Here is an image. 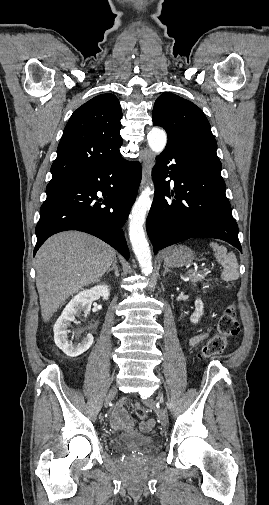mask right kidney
Returning <instances> with one entry per match:
<instances>
[{
	"instance_id": "1",
	"label": "right kidney",
	"mask_w": 269,
	"mask_h": 505,
	"mask_svg": "<svg viewBox=\"0 0 269 505\" xmlns=\"http://www.w3.org/2000/svg\"><path fill=\"white\" fill-rule=\"evenodd\" d=\"M110 289L107 285L94 286L91 289L79 292L67 304L61 316L54 325V340L56 345L69 357H77L86 352L93 344L92 334H88L81 342L72 343L68 340V334L71 332L68 327L75 322V317L81 312L88 315L91 310L92 302L103 298L108 300Z\"/></svg>"
}]
</instances>
